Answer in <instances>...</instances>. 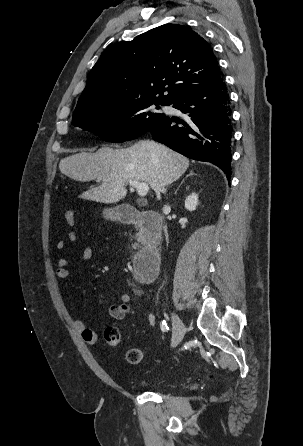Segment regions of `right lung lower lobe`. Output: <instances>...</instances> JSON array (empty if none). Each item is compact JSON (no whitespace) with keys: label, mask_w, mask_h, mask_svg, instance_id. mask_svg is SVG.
I'll return each mask as SVG.
<instances>
[{"label":"right lung lower lobe","mask_w":303,"mask_h":446,"mask_svg":"<svg viewBox=\"0 0 303 446\" xmlns=\"http://www.w3.org/2000/svg\"><path fill=\"white\" fill-rule=\"evenodd\" d=\"M171 104L185 117L164 115L146 133L186 157L218 166L229 179L232 110L223 78L190 90Z\"/></svg>","instance_id":"obj_1"}]
</instances>
